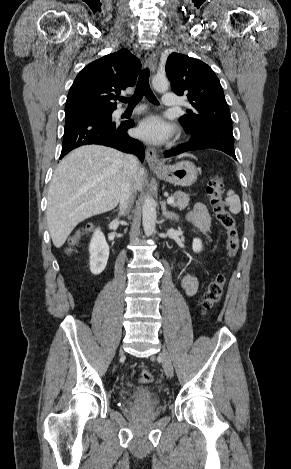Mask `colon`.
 <instances>
[{
	"label": "colon",
	"instance_id": "colon-1",
	"mask_svg": "<svg viewBox=\"0 0 291 469\" xmlns=\"http://www.w3.org/2000/svg\"><path fill=\"white\" fill-rule=\"evenodd\" d=\"M223 179L221 176H214L207 188L215 216L221 226L226 230V243L225 249L229 259H233L239 250V236L236 228L235 221L231 214L226 210L222 199ZM91 225H87L81 230L77 231L70 240V245H75L80 239L81 235L88 230ZM226 284V277L224 274H218L207 286L202 300V308L204 313L211 311L215 305L220 301ZM139 380L141 383L148 384L153 380V375L148 369H142L139 373Z\"/></svg>",
	"mask_w": 291,
	"mask_h": 469
}]
</instances>
